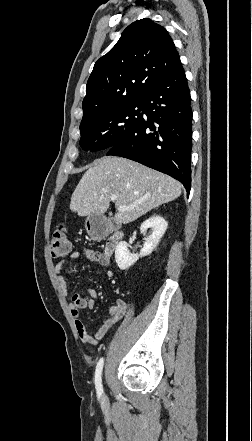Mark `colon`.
<instances>
[{
	"label": "colon",
	"mask_w": 252,
	"mask_h": 441,
	"mask_svg": "<svg viewBox=\"0 0 252 441\" xmlns=\"http://www.w3.org/2000/svg\"><path fill=\"white\" fill-rule=\"evenodd\" d=\"M50 251L54 258L64 257L70 253L71 243L62 229L56 230L53 234Z\"/></svg>",
	"instance_id": "obj_1"
}]
</instances>
